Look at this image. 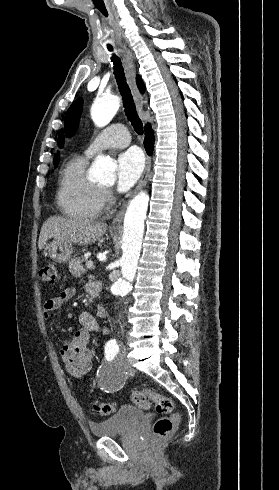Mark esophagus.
<instances>
[{
    "instance_id": "34e87169",
    "label": "esophagus",
    "mask_w": 279,
    "mask_h": 490,
    "mask_svg": "<svg viewBox=\"0 0 279 490\" xmlns=\"http://www.w3.org/2000/svg\"><path fill=\"white\" fill-rule=\"evenodd\" d=\"M121 50H122V58H123L124 66H125L127 81H128L131 93L133 95V99H134V102L136 104V107L140 111L144 107V101H143V97L140 94L138 87L136 85L134 55L126 45L121 46ZM150 169H151V157L147 156L146 162H145V167H144L141 179H140V181H139V183L135 189L134 194L126 202V204L123 206V208H121V210L117 213L116 217L113 219V221L110 225V228H119L121 226L127 204L139 192V190H141L146 185L148 175L150 173Z\"/></svg>"
}]
</instances>
